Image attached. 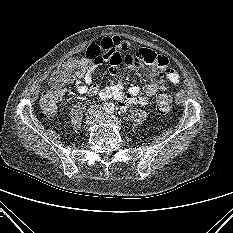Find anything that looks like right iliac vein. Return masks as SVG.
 I'll list each match as a JSON object with an SVG mask.
<instances>
[{
    "label": "right iliac vein",
    "instance_id": "1",
    "mask_svg": "<svg viewBox=\"0 0 233 233\" xmlns=\"http://www.w3.org/2000/svg\"><path fill=\"white\" fill-rule=\"evenodd\" d=\"M95 117H97V111L93 108L89 109L84 120L85 126L90 125Z\"/></svg>",
    "mask_w": 233,
    "mask_h": 233
}]
</instances>
